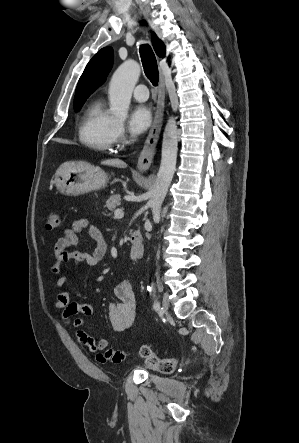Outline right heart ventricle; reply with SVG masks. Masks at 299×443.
I'll list each match as a JSON object with an SVG mask.
<instances>
[{
    "mask_svg": "<svg viewBox=\"0 0 299 443\" xmlns=\"http://www.w3.org/2000/svg\"><path fill=\"white\" fill-rule=\"evenodd\" d=\"M115 122L100 100L92 102L85 110L79 124L80 142L94 151H111L115 142L113 137Z\"/></svg>",
    "mask_w": 299,
    "mask_h": 443,
    "instance_id": "right-heart-ventricle-1",
    "label": "right heart ventricle"
}]
</instances>
